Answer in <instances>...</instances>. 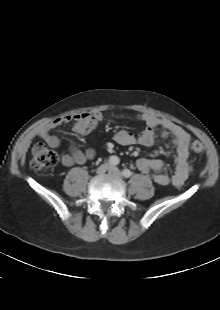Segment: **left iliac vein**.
<instances>
[{
	"mask_svg": "<svg viewBox=\"0 0 220 310\" xmlns=\"http://www.w3.org/2000/svg\"><path fill=\"white\" fill-rule=\"evenodd\" d=\"M109 173L117 178H121L122 177V173L120 172V170L116 167L111 166L109 169Z\"/></svg>",
	"mask_w": 220,
	"mask_h": 310,
	"instance_id": "4c4485c4",
	"label": "left iliac vein"
}]
</instances>
